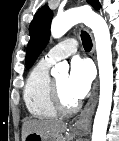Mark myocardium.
<instances>
[{
    "instance_id": "f54148a6",
    "label": "myocardium",
    "mask_w": 119,
    "mask_h": 141,
    "mask_svg": "<svg viewBox=\"0 0 119 141\" xmlns=\"http://www.w3.org/2000/svg\"><path fill=\"white\" fill-rule=\"evenodd\" d=\"M49 97L52 107L59 114L70 115L75 113L79 109V103L77 101L72 105H66L63 102L57 87V83L54 79L51 80Z\"/></svg>"
}]
</instances>
